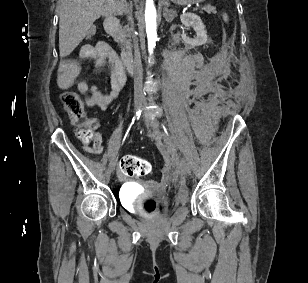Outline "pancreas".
Listing matches in <instances>:
<instances>
[{"label":"pancreas","mask_w":308,"mask_h":283,"mask_svg":"<svg viewBox=\"0 0 308 283\" xmlns=\"http://www.w3.org/2000/svg\"><path fill=\"white\" fill-rule=\"evenodd\" d=\"M207 12H211L212 9L211 8H207L206 9ZM131 31L132 29L129 28L127 25L123 28L122 30V34H123V37L125 38V45H126V48L129 50L130 49V46H131Z\"/></svg>","instance_id":"obj_1"}]
</instances>
